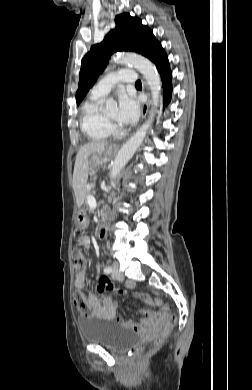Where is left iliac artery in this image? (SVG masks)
<instances>
[{
  "instance_id": "44dca946",
  "label": "left iliac artery",
  "mask_w": 252,
  "mask_h": 390,
  "mask_svg": "<svg viewBox=\"0 0 252 390\" xmlns=\"http://www.w3.org/2000/svg\"><path fill=\"white\" fill-rule=\"evenodd\" d=\"M111 271H112V268H111L110 266H108V267H106V268L104 269V272H105L106 274L111 273Z\"/></svg>"
}]
</instances>
